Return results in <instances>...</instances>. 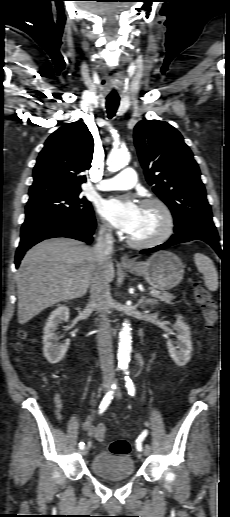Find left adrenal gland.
<instances>
[{"label":"left adrenal gland","mask_w":230,"mask_h":517,"mask_svg":"<svg viewBox=\"0 0 230 517\" xmlns=\"http://www.w3.org/2000/svg\"><path fill=\"white\" fill-rule=\"evenodd\" d=\"M140 303H142V305H155L157 302L154 299H148L145 296H142Z\"/></svg>","instance_id":"a2214340"}]
</instances>
